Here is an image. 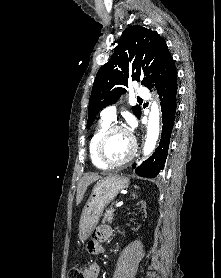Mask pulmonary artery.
I'll list each match as a JSON object with an SVG mask.
<instances>
[{
  "instance_id": "obj_1",
  "label": "pulmonary artery",
  "mask_w": 221,
  "mask_h": 278,
  "mask_svg": "<svg viewBox=\"0 0 221 278\" xmlns=\"http://www.w3.org/2000/svg\"><path fill=\"white\" fill-rule=\"evenodd\" d=\"M135 95L139 98L146 99L148 98V90L145 87H139ZM116 110V105H110L102 110L101 116L104 120L111 122L116 119Z\"/></svg>"
}]
</instances>
